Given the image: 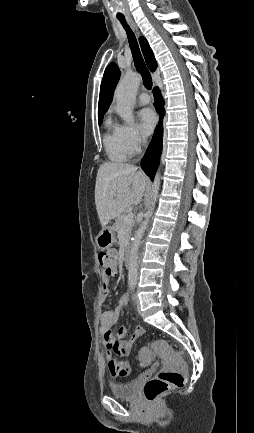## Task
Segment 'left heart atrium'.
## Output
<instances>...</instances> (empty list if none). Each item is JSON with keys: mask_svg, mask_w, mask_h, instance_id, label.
<instances>
[{"mask_svg": "<svg viewBox=\"0 0 254 433\" xmlns=\"http://www.w3.org/2000/svg\"><path fill=\"white\" fill-rule=\"evenodd\" d=\"M140 128L144 134H150L156 124L155 113L148 108L139 112Z\"/></svg>", "mask_w": 254, "mask_h": 433, "instance_id": "left-heart-atrium-1", "label": "left heart atrium"}]
</instances>
